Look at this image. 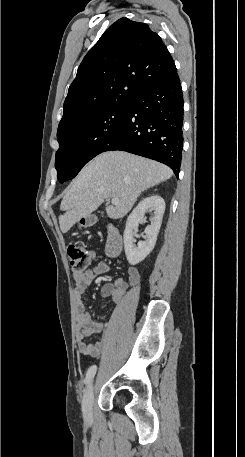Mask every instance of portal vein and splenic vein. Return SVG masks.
<instances>
[{
    "mask_svg": "<svg viewBox=\"0 0 245 457\" xmlns=\"http://www.w3.org/2000/svg\"><path fill=\"white\" fill-rule=\"evenodd\" d=\"M112 204H119V198H112Z\"/></svg>",
    "mask_w": 245,
    "mask_h": 457,
    "instance_id": "18ae733b",
    "label": "portal vein and splenic vein"
}]
</instances>
